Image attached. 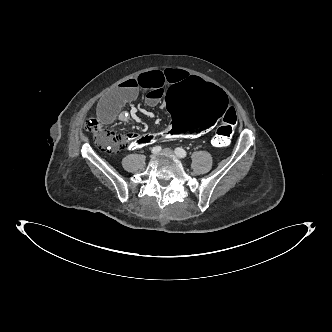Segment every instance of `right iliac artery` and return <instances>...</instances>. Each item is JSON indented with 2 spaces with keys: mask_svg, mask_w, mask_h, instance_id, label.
<instances>
[{
  "mask_svg": "<svg viewBox=\"0 0 332 332\" xmlns=\"http://www.w3.org/2000/svg\"><path fill=\"white\" fill-rule=\"evenodd\" d=\"M161 149L162 148L160 146H155V147L152 148L151 151H152V153L157 154L161 151Z\"/></svg>",
  "mask_w": 332,
  "mask_h": 332,
  "instance_id": "right-iliac-artery-1",
  "label": "right iliac artery"
}]
</instances>
